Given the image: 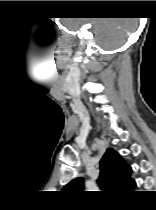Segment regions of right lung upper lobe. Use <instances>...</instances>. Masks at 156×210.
Here are the masks:
<instances>
[{
  "instance_id": "right-lung-upper-lobe-1",
  "label": "right lung upper lobe",
  "mask_w": 156,
  "mask_h": 210,
  "mask_svg": "<svg viewBox=\"0 0 156 210\" xmlns=\"http://www.w3.org/2000/svg\"><path fill=\"white\" fill-rule=\"evenodd\" d=\"M131 167L112 148L106 150L100 161V176L97 180L100 189L127 194L132 192L136 183L130 177ZM67 187L83 190L84 178L79 177L71 181Z\"/></svg>"
}]
</instances>
